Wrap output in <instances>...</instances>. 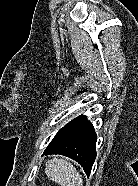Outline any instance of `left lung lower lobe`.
Segmentation results:
<instances>
[{
	"mask_svg": "<svg viewBox=\"0 0 138 186\" xmlns=\"http://www.w3.org/2000/svg\"><path fill=\"white\" fill-rule=\"evenodd\" d=\"M50 154L77 161L89 176L96 158V133L86 116L80 115L58 131L44 151V155Z\"/></svg>",
	"mask_w": 138,
	"mask_h": 186,
	"instance_id": "left-lung-lower-lobe-1",
	"label": "left lung lower lobe"
}]
</instances>
